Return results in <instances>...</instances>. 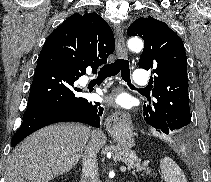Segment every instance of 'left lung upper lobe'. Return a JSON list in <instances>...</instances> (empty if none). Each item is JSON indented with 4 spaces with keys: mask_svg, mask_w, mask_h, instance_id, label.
<instances>
[{
    "mask_svg": "<svg viewBox=\"0 0 211 182\" xmlns=\"http://www.w3.org/2000/svg\"><path fill=\"white\" fill-rule=\"evenodd\" d=\"M129 36L145 42L139 67L153 69L149 86L153 100L143 105L144 120L158 131L177 130L187 135L191 115L188 98L187 59L181 38L166 23L150 16L135 20Z\"/></svg>",
    "mask_w": 211,
    "mask_h": 182,
    "instance_id": "1",
    "label": "left lung upper lobe"
}]
</instances>
